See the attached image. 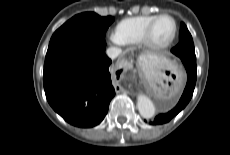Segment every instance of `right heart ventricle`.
<instances>
[{
    "instance_id": "right-heart-ventricle-1",
    "label": "right heart ventricle",
    "mask_w": 230,
    "mask_h": 155,
    "mask_svg": "<svg viewBox=\"0 0 230 155\" xmlns=\"http://www.w3.org/2000/svg\"><path fill=\"white\" fill-rule=\"evenodd\" d=\"M157 15H141L123 19L115 27V34L123 44H134L142 40L150 22Z\"/></svg>"
}]
</instances>
